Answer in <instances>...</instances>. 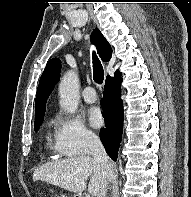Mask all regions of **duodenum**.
Wrapping results in <instances>:
<instances>
[{
	"label": "duodenum",
	"mask_w": 191,
	"mask_h": 197,
	"mask_svg": "<svg viewBox=\"0 0 191 197\" xmlns=\"http://www.w3.org/2000/svg\"><path fill=\"white\" fill-rule=\"evenodd\" d=\"M75 197H82V196L78 194V195H76Z\"/></svg>",
	"instance_id": "410a0bca"
}]
</instances>
